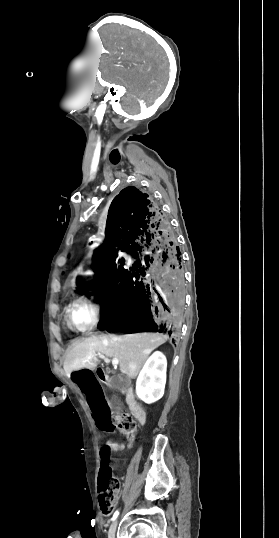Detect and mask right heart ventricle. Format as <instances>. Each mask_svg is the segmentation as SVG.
Masks as SVG:
<instances>
[{"instance_id":"right-heart-ventricle-1","label":"right heart ventricle","mask_w":279,"mask_h":538,"mask_svg":"<svg viewBox=\"0 0 279 538\" xmlns=\"http://www.w3.org/2000/svg\"><path fill=\"white\" fill-rule=\"evenodd\" d=\"M52 224L59 235H63L70 242L74 240L77 231H73L71 228L66 230L63 220L59 215ZM65 319L71 329H84L86 327L84 304L76 301L72 302L67 308Z\"/></svg>"}]
</instances>
